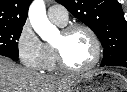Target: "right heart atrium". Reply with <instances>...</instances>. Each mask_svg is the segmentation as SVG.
Returning a JSON list of instances; mask_svg holds the SVG:
<instances>
[{
  "label": "right heart atrium",
  "instance_id": "right-heart-atrium-1",
  "mask_svg": "<svg viewBox=\"0 0 127 92\" xmlns=\"http://www.w3.org/2000/svg\"><path fill=\"white\" fill-rule=\"evenodd\" d=\"M16 48L23 66L32 70H43L47 59L45 44L29 23L22 26L16 40Z\"/></svg>",
  "mask_w": 127,
  "mask_h": 92
}]
</instances>
